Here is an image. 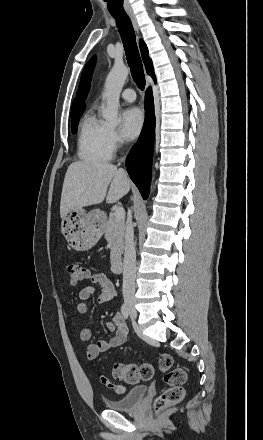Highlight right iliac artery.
<instances>
[{"mask_svg": "<svg viewBox=\"0 0 263 440\" xmlns=\"http://www.w3.org/2000/svg\"><path fill=\"white\" fill-rule=\"evenodd\" d=\"M121 313H122V315H123V317L125 319L129 318V310H128V308H127L125 303H123L122 306H121Z\"/></svg>", "mask_w": 263, "mask_h": 440, "instance_id": "1", "label": "right iliac artery"}]
</instances>
